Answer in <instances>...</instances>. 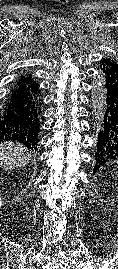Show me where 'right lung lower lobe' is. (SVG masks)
<instances>
[{
	"instance_id": "right-lung-lower-lobe-1",
	"label": "right lung lower lobe",
	"mask_w": 118,
	"mask_h": 269,
	"mask_svg": "<svg viewBox=\"0 0 118 269\" xmlns=\"http://www.w3.org/2000/svg\"><path fill=\"white\" fill-rule=\"evenodd\" d=\"M37 83L16 84L0 116V139L14 140L30 149H37L40 132Z\"/></svg>"
}]
</instances>
